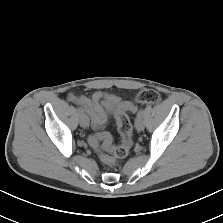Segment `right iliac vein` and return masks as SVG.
<instances>
[{"instance_id": "1", "label": "right iliac vein", "mask_w": 223, "mask_h": 223, "mask_svg": "<svg viewBox=\"0 0 223 223\" xmlns=\"http://www.w3.org/2000/svg\"><path fill=\"white\" fill-rule=\"evenodd\" d=\"M80 125L83 128H86L89 126V118L86 114L80 113Z\"/></svg>"}]
</instances>
